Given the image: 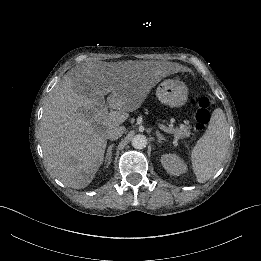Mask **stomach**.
I'll list each match as a JSON object with an SVG mask.
<instances>
[{"instance_id": "1", "label": "stomach", "mask_w": 261, "mask_h": 261, "mask_svg": "<svg viewBox=\"0 0 261 261\" xmlns=\"http://www.w3.org/2000/svg\"><path fill=\"white\" fill-rule=\"evenodd\" d=\"M157 97L169 107L181 108L189 102V90L183 81L169 79L158 86Z\"/></svg>"}]
</instances>
